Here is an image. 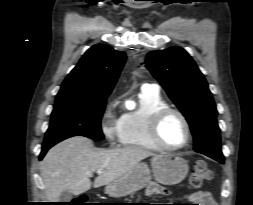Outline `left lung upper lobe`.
Returning a JSON list of instances; mask_svg holds the SVG:
<instances>
[{
	"label": "left lung upper lobe",
	"mask_w": 253,
	"mask_h": 205,
	"mask_svg": "<svg viewBox=\"0 0 253 205\" xmlns=\"http://www.w3.org/2000/svg\"><path fill=\"white\" fill-rule=\"evenodd\" d=\"M146 67L186 117L194 136V150L224 161L217 109L194 60L184 49L174 46L149 52Z\"/></svg>",
	"instance_id": "5c2ea615"
}]
</instances>
